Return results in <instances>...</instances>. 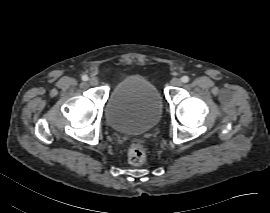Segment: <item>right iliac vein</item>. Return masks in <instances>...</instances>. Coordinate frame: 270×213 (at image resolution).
I'll use <instances>...</instances> for the list:
<instances>
[{
    "mask_svg": "<svg viewBox=\"0 0 270 213\" xmlns=\"http://www.w3.org/2000/svg\"><path fill=\"white\" fill-rule=\"evenodd\" d=\"M89 83L91 86H96V85H98V80L93 77V78L89 79Z\"/></svg>",
    "mask_w": 270,
    "mask_h": 213,
    "instance_id": "obj_1",
    "label": "right iliac vein"
}]
</instances>
